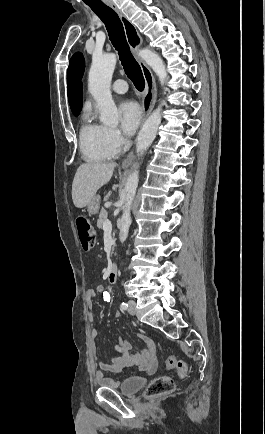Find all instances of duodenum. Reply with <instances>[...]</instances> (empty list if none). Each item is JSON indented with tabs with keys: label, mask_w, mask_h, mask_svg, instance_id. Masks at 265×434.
<instances>
[{
	"label": "duodenum",
	"mask_w": 265,
	"mask_h": 434,
	"mask_svg": "<svg viewBox=\"0 0 265 434\" xmlns=\"http://www.w3.org/2000/svg\"><path fill=\"white\" fill-rule=\"evenodd\" d=\"M118 271H119V265L117 263H113V264L109 265L108 274H107V281L110 284H113L117 281Z\"/></svg>",
	"instance_id": "410a0bca"
}]
</instances>
